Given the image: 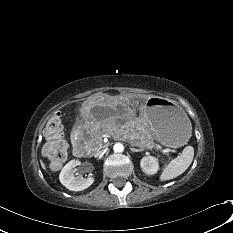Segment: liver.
Masks as SVG:
<instances>
[{
    "label": "liver",
    "mask_w": 233,
    "mask_h": 233,
    "mask_svg": "<svg viewBox=\"0 0 233 233\" xmlns=\"http://www.w3.org/2000/svg\"><path fill=\"white\" fill-rule=\"evenodd\" d=\"M41 166H42V168L43 169H45L46 167H45V164L41 161Z\"/></svg>",
    "instance_id": "6515ba94"
}]
</instances>
